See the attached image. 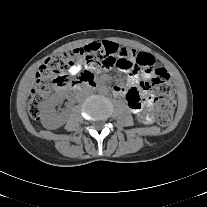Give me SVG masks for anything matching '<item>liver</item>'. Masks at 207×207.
<instances>
[{
  "label": "liver",
  "mask_w": 207,
  "mask_h": 207,
  "mask_svg": "<svg viewBox=\"0 0 207 207\" xmlns=\"http://www.w3.org/2000/svg\"><path fill=\"white\" fill-rule=\"evenodd\" d=\"M35 77L32 76L30 80L27 82L26 87L24 89L25 97L30 93V89L34 86Z\"/></svg>",
  "instance_id": "6515ba94"
}]
</instances>
